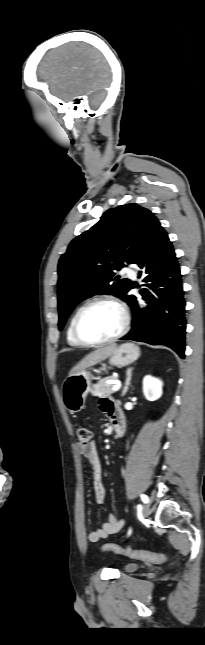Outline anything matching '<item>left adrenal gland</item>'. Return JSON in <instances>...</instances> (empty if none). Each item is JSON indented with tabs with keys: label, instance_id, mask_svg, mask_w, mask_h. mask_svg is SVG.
<instances>
[{
	"label": "left adrenal gland",
	"instance_id": "obj_1",
	"mask_svg": "<svg viewBox=\"0 0 205 645\" xmlns=\"http://www.w3.org/2000/svg\"><path fill=\"white\" fill-rule=\"evenodd\" d=\"M132 370H133V368H128L126 370V377L127 378H126L125 386H124L123 391H122V396H125L127 391H128V389H129L131 376H132Z\"/></svg>",
	"mask_w": 205,
	"mask_h": 645
}]
</instances>
